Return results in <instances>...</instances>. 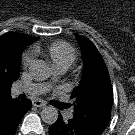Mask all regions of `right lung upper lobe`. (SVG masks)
<instances>
[{"label": "right lung upper lobe", "mask_w": 135, "mask_h": 135, "mask_svg": "<svg viewBox=\"0 0 135 135\" xmlns=\"http://www.w3.org/2000/svg\"><path fill=\"white\" fill-rule=\"evenodd\" d=\"M39 37L8 32L0 36V100L11 97L12 82L20 75V61L24 48Z\"/></svg>", "instance_id": "obj_1"}]
</instances>
